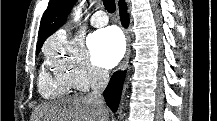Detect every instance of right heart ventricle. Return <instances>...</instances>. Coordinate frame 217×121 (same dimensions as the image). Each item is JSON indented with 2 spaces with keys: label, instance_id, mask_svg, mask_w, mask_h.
Segmentation results:
<instances>
[{
  "label": "right heart ventricle",
  "instance_id": "obj_1",
  "mask_svg": "<svg viewBox=\"0 0 217 121\" xmlns=\"http://www.w3.org/2000/svg\"><path fill=\"white\" fill-rule=\"evenodd\" d=\"M38 87L41 95L45 98H59L70 92L71 85L60 76L49 74L42 70L39 76Z\"/></svg>",
  "mask_w": 217,
  "mask_h": 121
}]
</instances>
